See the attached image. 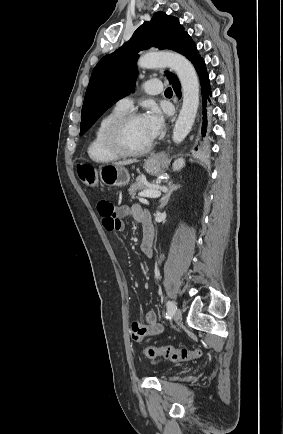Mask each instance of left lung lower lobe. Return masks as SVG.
Masks as SVG:
<instances>
[{
  "mask_svg": "<svg viewBox=\"0 0 283 434\" xmlns=\"http://www.w3.org/2000/svg\"><path fill=\"white\" fill-rule=\"evenodd\" d=\"M201 83V91H202V126H201V135L202 138L208 137L211 131V120H212V91L210 87V80L208 77V73L206 70V64L203 59H200L194 65ZM173 89L177 96H181V86L179 80L176 79L171 82Z\"/></svg>",
  "mask_w": 283,
  "mask_h": 434,
  "instance_id": "1",
  "label": "left lung lower lobe"
}]
</instances>
